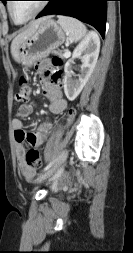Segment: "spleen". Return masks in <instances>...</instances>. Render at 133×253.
Masks as SVG:
<instances>
[{"label": "spleen", "instance_id": "obj_1", "mask_svg": "<svg viewBox=\"0 0 133 253\" xmlns=\"http://www.w3.org/2000/svg\"><path fill=\"white\" fill-rule=\"evenodd\" d=\"M58 23L68 35L69 42H78L87 36V29L83 23L69 16H58Z\"/></svg>", "mask_w": 133, "mask_h": 253}]
</instances>
